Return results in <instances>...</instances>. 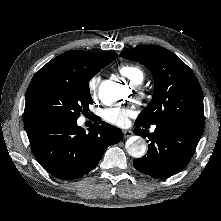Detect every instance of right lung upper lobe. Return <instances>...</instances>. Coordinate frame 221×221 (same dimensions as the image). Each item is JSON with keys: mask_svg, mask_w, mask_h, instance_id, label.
<instances>
[{"mask_svg": "<svg viewBox=\"0 0 221 221\" xmlns=\"http://www.w3.org/2000/svg\"><path fill=\"white\" fill-rule=\"evenodd\" d=\"M117 54L112 51L87 52L80 50L67 51L47 64L39 72L50 71L58 73L82 72L94 69L108 60H114Z\"/></svg>", "mask_w": 221, "mask_h": 221, "instance_id": "right-lung-upper-lobe-1", "label": "right lung upper lobe"}]
</instances>
